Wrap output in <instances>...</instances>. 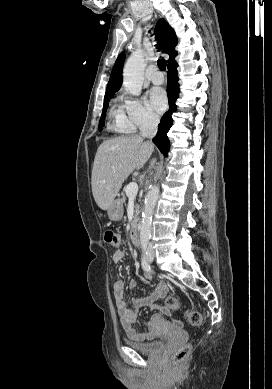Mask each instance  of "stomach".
Here are the masks:
<instances>
[{
  "mask_svg": "<svg viewBox=\"0 0 272 389\" xmlns=\"http://www.w3.org/2000/svg\"><path fill=\"white\" fill-rule=\"evenodd\" d=\"M123 212V202L119 199L114 200L107 210L109 218L114 221L120 220L123 216Z\"/></svg>",
  "mask_w": 272,
  "mask_h": 389,
  "instance_id": "0dacf381",
  "label": "stomach"
}]
</instances>
